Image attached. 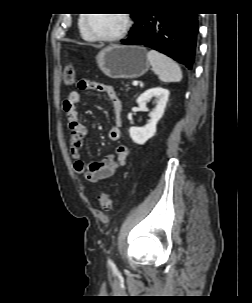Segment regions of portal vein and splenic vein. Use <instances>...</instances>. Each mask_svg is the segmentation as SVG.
Listing matches in <instances>:
<instances>
[{
	"label": "portal vein and splenic vein",
	"instance_id": "portal-vein-and-splenic-vein-1",
	"mask_svg": "<svg viewBox=\"0 0 252 303\" xmlns=\"http://www.w3.org/2000/svg\"><path fill=\"white\" fill-rule=\"evenodd\" d=\"M132 85L133 86H137L138 85V81H133Z\"/></svg>",
	"mask_w": 252,
	"mask_h": 303
}]
</instances>
